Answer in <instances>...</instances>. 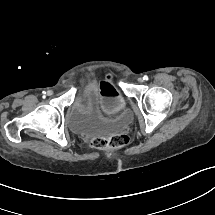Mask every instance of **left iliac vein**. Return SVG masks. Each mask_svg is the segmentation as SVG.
I'll list each match as a JSON object with an SVG mask.
<instances>
[{
    "mask_svg": "<svg viewBox=\"0 0 215 215\" xmlns=\"http://www.w3.org/2000/svg\"><path fill=\"white\" fill-rule=\"evenodd\" d=\"M138 82L142 83L143 82V78L142 77L138 78Z\"/></svg>",
    "mask_w": 215,
    "mask_h": 215,
    "instance_id": "1",
    "label": "left iliac vein"
}]
</instances>
